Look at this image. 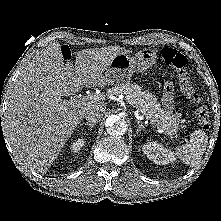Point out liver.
Returning <instances> with one entry per match:
<instances>
[{
    "mask_svg": "<svg viewBox=\"0 0 221 221\" xmlns=\"http://www.w3.org/2000/svg\"><path fill=\"white\" fill-rule=\"evenodd\" d=\"M129 52L119 46L83 49L73 65L53 43L34 56L19 73L7 105L4 130L14 155L31 169L47 171L87 111L105 106L101 100L75 104L61 97L84 86L103 87L111 61Z\"/></svg>",
    "mask_w": 221,
    "mask_h": 221,
    "instance_id": "liver-1",
    "label": "liver"
}]
</instances>
